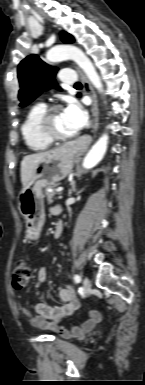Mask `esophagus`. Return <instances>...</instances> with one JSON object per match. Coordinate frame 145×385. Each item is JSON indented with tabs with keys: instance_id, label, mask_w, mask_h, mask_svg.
Returning <instances> with one entry per match:
<instances>
[{
	"instance_id": "34e87169",
	"label": "esophagus",
	"mask_w": 145,
	"mask_h": 385,
	"mask_svg": "<svg viewBox=\"0 0 145 385\" xmlns=\"http://www.w3.org/2000/svg\"><path fill=\"white\" fill-rule=\"evenodd\" d=\"M76 69L82 81L84 90L90 95L92 99V105H91L92 129L94 132H96L99 125V109H98L97 95L95 93L94 88L92 87V85L90 84L86 76L84 75V73L79 68H76Z\"/></svg>"
}]
</instances>
